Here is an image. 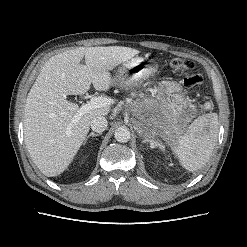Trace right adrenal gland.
I'll use <instances>...</instances> for the list:
<instances>
[{
  "mask_svg": "<svg viewBox=\"0 0 247 247\" xmlns=\"http://www.w3.org/2000/svg\"><path fill=\"white\" fill-rule=\"evenodd\" d=\"M101 133H94V132H91L86 138H85V140H84V145H86V143H87V141H88V139L90 138V137H95V136H99Z\"/></svg>",
  "mask_w": 247,
  "mask_h": 247,
  "instance_id": "2a0ac1e0",
  "label": "right adrenal gland"
}]
</instances>
